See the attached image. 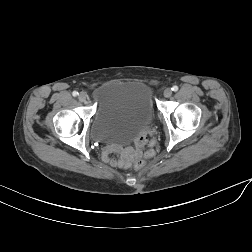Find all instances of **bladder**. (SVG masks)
I'll list each match as a JSON object with an SVG mask.
<instances>
[{
	"mask_svg": "<svg viewBox=\"0 0 252 252\" xmlns=\"http://www.w3.org/2000/svg\"><path fill=\"white\" fill-rule=\"evenodd\" d=\"M93 138L100 144H122L151 127L154 110L149 88L139 81H108L93 91Z\"/></svg>",
	"mask_w": 252,
	"mask_h": 252,
	"instance_id": "obj_1",
	"label": "bladder"
}]
</instances>
